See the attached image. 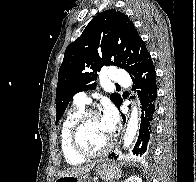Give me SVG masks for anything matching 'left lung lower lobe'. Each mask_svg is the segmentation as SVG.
<instances>
[{
	"instance_id": "1",
	"label": "left lung lower lobe",
	"mask_w": 196,
	"mask_h": 182,
	"mask_svg": "<svg viewBox=\"0 0 196 182\" xmlns=\"http://www.w3.org/2000/svg\"><path fill=\"white\" fill-rule=\"evenodd\" d=\"M131 78L134 82L133 89H140L138 96L142 105L139 135L133 153L146 159L151 155L157 117L156 73L150 55L145 58L139 69L131 75ZM121 104L122 101L118 105V109H120ZM122 118L125 121L124 115H122ZM109 157L117 159V156L113 153Z\"/></svg>"
}]
</instances>
